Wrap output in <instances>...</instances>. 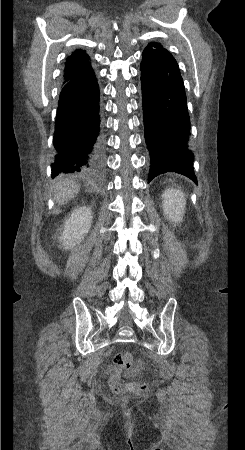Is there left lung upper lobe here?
Instances as JSON below:
<instances>
[{
  "label": "left lung upper lobe",
  "mask_w": 245,
  "mask_h": 450,
  "mask_svg": "<svg viewBox=\"0 0 245 450\" xmlns=\"http://www.w3.org/2000/svg\"><path fill=\"white\" fill-rule=\"evenodd\" d=\"M143 59L142 61L154 62L158 60H169L172 62L178 69V64L175 58L170 54L165 48L162 47L159 43H149L148 46L143 51Z\"/></svg>",
  "instance_id": "left-lung-upper-lobe-1"
}]
</instances>
